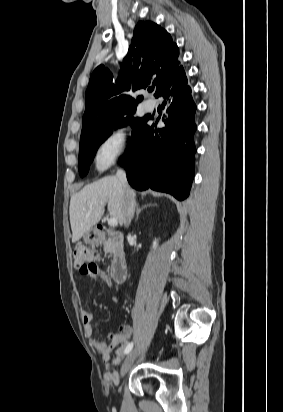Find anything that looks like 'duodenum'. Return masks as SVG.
<instances>
[{
  "label": "duodenum",
  "instance_id": "410a0bca",
  "mask_svg": "<svg viewBox=\"0 0 283 412\" xmlns=\"http://www.w3.org/2000/svg\"><path fill=\"white\" fill-rule=\"evenodd\" d=\"M97 245L108 244L112 255L111 276L119 284H123L127 279V262L122 251V236L104 226H98L95 233Z\"/></svg>",
  "mask_w": 283,
  "mask_h": 412
}]
</instances>
